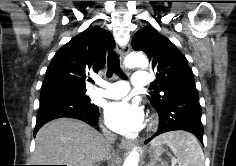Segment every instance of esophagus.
<instances>
[{
  "instance_id": "1",
  "label": "esophagus",
  "mask_w": 236,
  "mask_h": 166,
  "mask_svg": "<svg viewBox=\"0 0 236 166\" xmlns=\"http://www.w3.org/2000/svg\"><path fill=\"white\" fill-rule=\"evenodd\" d=\"M129 50H130L129 46H124L122 48V50H121V62L123 64H124L126 56L129 53ZM134 143L135 142L132 141V140H125V139H123L122 142H121V147L122 148H130V147H132L134 145Z\"/></svg>"
}]
</instances>
